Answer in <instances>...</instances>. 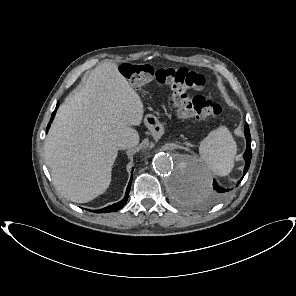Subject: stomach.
I'll return each mask as SVG.
<instances>
[{
	"instance_id": "0dacf381",
	"label": "stomach",
	"mask_w": 296,
	"mask_h": 296,
	"mask_svg": "<svg viewBox=\"0 0 296 296\" xmlns=\"http://www.w3.org/2000/svg\"><path fill=\"white\" fill-rule=\"evenodd\" d=\"M145 124L147 128L152 132L154 139L161 141L165 139L167 132L165 128L161 127L158 119L152 115L145 117Z\"/></svg>"
}]
</instances>
